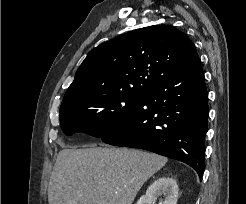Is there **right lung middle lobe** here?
I'll return each mask as SVG.
<instances>
[{
	"label": "right lung middle lobe",
	"instance_id": "right-lung-middle-lobe-1",
	"mask_svg": "<svg viewBox=\"0 0 246 204\" xmlns=\"http://www.w3.org/2000/svg\"><path fill=\"white\" fill-rule=\"evenodd\" d=\"M142 93H116L77 101L60 108V124L68 136L84 132L102 137L122 125Z\"/></svg>",
	"mask_w": 246,
	"mask_h": 204
}]
</instances>
